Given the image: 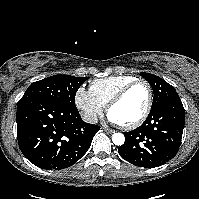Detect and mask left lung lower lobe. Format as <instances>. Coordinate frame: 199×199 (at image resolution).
Returning a JSON list of instances; mask_svg holds the SVG:
<instances>
[{
    "label": "left lung lower lobe",
    "instance_id": "0a47b994",
    "mask_svg": "<svg viewBox=\"0 0 199 199\" xmlns=\"http://www.w3.org/2000/svg\"><path fill=\"white\" fill-rule=\"evenodd\" d=\"M184 122L185 112L180 98L151 108L140 127L124 132L125 143L118 152L124 160L139 167L163 165L179 150Z\"/></svg>",
    "mask_w": 199,
    "mask_h": 199
}]
</instances>
